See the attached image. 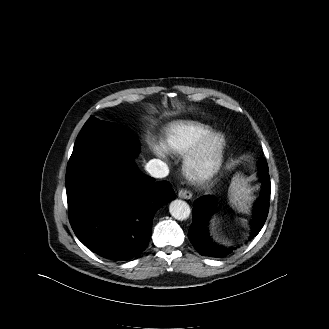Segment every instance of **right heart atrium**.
<instances>
[{
	"mask_svg": "<svg viewBox=\"0 0 329 329\" xmlns=\"http://www.w3.org/2000/svg\"><path fill=\"white\" fill-rule=\"evenodd\" d=\"M156 153H157L159 156H164V152H163V150H161L160 148H156Z\"/></svg>",
	"mask_w": 329,
	"mask_h": 329,
	"instance_id": "obj_1",
	"label": "right heart atrium"
}]
</instances>
